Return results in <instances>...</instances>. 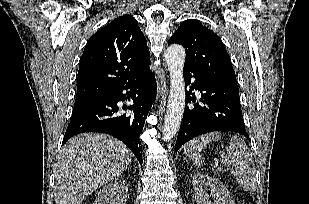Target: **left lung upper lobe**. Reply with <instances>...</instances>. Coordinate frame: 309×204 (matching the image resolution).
Returning a JSON list of instances; mask_svg holds the SVG:
<instances>
[{
    "mask_svg": "<svg viewBox=\"0 0 309 204\" xmlns=\"http://www.w3.org/2000/svg\"><path fill=\"white\" fill-rule=\"evenodd\" d=\"M168 43H179L185 48L184 68L202 71L219 79L236 82L230 57L222 41L200 21L189 19L182 22Z\"/></svg>",
    "mask_w": 309,
    "mask_h": 204,
    "instance_id": "obj_1",
    "label": "left lung upper lobe"
}]
</instances>
